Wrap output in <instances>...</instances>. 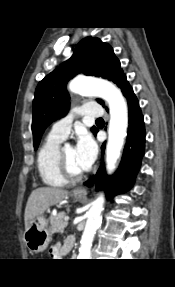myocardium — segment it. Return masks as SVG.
Here are the masks:
<instances>
[{
	"instance_id": "obj_1",
	"label": "myocardium",
	"mask_w": 175,
	"mask_h": 287,
	"mask_svg": "<svg viewBox=\"0 0 175 287\" xmlns=\"http://www.w3.org/2000/svg\"><path fill=\"white\" fill-rule=\"evenodd\" d=\"M57 162H58V166H59L61 174L67 181H78L83 177L84 175L83 171L74 172L70 169L66 161L65 155H64V147H61L58 150Z\"/></svg>"
}]
</instances>
